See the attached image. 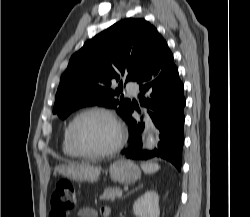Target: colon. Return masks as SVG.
Wrapping results in <instances>:
<instances>
[{
	"label": "colon",
	"mask_w": 250,
	"mask_h": 217,
	"mask_svg": "<svg viewBox=\"0 0 250 217\" xmlns=\"http://www.w3.org/2000/svg\"><path fill=\"white\" fill-rule=\"evenodd\" d=\"M77 205V195L72 183L59 181L51 196V212L49 217H68Z\"/></svg>",
	"instance_id": "obj_1"
}]
</instances>
